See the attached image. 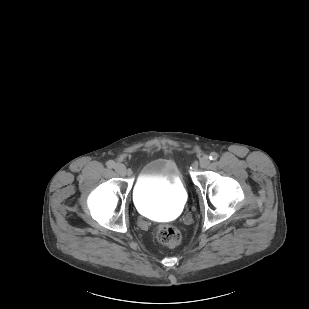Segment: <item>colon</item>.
I'll list each match as a JSON object with an SVG mask.
<instances>
[{
	"label": "colon",
	"mask_w": 309,
	"mask_h": 309,
	"mask_svg": "<svg viewBox=\"0 0 309 309\" xmlns=\"http://www.w3.org/2000/svg\"><path fill=\"white\" fill-rule=\"evenodd\" d=\"M158 242L167 247H176L182 239L181 232L172 225H162L156 231Z\"/></svg>",
	"instance_id": "obj_1"
}]
</instances>
